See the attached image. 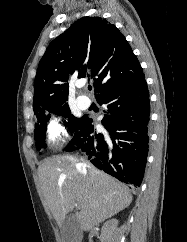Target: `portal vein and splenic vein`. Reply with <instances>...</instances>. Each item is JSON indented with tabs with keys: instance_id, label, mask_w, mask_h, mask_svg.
Masks as SVG:
<instances>
[{
	"instance_id": "obj_1",
	"label": "portal vein and splenic vein",
	"mask_w": 187,
	"mask_h": 242,
	"mask_svg": "<svg viewBox=\"0 0 187 242\" xmlns=\"http://www.w3.org/2000/svg\"><path fill=\"white\" fill-rule=\"evenodd\" d=\"M75 205H76V207H79V206H78V203H75Z\"/></svg>"
}]
</instances>
